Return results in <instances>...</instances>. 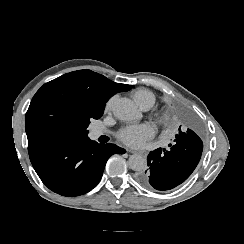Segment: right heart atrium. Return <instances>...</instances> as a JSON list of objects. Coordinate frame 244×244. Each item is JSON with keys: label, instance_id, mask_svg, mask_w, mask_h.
<instances>
[{"label": "right heart atrium", "instance_id": "d8ad5b80", "mask_svg": "<svg viewBox=\"0 0 244 244\" xmlns=\"http://www.w3.org/2000/svg\"><path fill=\"white\" fill-rule=\"evenodd\" d=\"M115 98H116V97L113 96V97H111V98L108 100V102H107V104H106V107H105V111H106V112H109V111H111V110L113 109L112 102H113V100H114Z\"/></svg>", "mask_w": 244, "mask_h": 244}]
</instances>
